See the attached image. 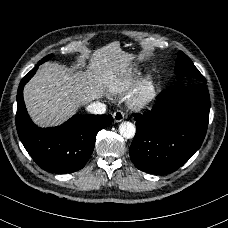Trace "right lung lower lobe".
I'll list each match as a JSON object with an SVG mask.
<instances>
[{"instance_id":"98d812e1","label":"right lung lower lobe","mask_w":228,"mask_h":228,"mask_svg":"<svg viewBox=\"0 0 228 228\" xmlns=\"http://www.w3.org/2000/svg\"><path fill=\"white\" fill-rule=\"evenodd\" d=\"M38 63L21 80L17 91L16 128L33 160L45 171L71 173L82 169L91 156L95 138L112 122L111 115H75L58 127L39 128L30 119L23 87L36 73Z\"/></svg>"}]
</instances>
